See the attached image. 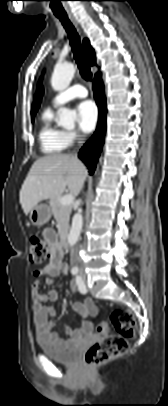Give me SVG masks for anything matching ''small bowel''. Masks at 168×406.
<instances>
[{
    "instance_id": "obj_1",
    "label": "small bowel",
    "mask_w": 168,
    "mask_h": 406,
    "mask_svg": "<svg viewBox=\"0 0 168 406\" xmlns=\"http://www.w3.org/2000/svg\"><path fill=\"white\" fill-rule=\"evenodd\" d=\"M44 238L51 245L52 252L48 264L34 272L37 278L31 286L34 323L38 335L50 343L58 347L70 346L82 336L93 333V323L90 318L97 313L98 308L92 299H87L84 303H75L73 305L74 311L85 319L82 326L79 329L67 326L65 328L67 340L62 339L59 334L53 331L55 323L50 318L55 316L56 311L49 303L56 301L58 294L53 289L48 290L46 293H40L39 287L42 278H44L46 284L52 285L59 275L67 272V265L63 262V251L59 246L56 233L52 229H46ZM71 289L76 290L75 283H71Z\"/></svg>"
}]
</instances>
